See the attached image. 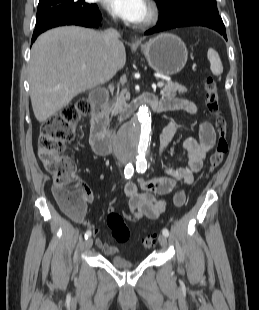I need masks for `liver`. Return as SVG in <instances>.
<instances>
[{"label":"liver","mask_w":259,"mask_h":310,"mask_svg":"<svg viewBox=\"0 0 259 310\" xmlns=\"http://www.w3.org/2000/svg\"><path fill=\"white\" fill-rule=\"evenodd\" d=\"M125 63L123 43L107 47L102 32L65 26L43 33L32 46L29 64L36 119L45 122L80 93L109 81Z\"/></svg>","instance_id":"1"}]
</instances>
